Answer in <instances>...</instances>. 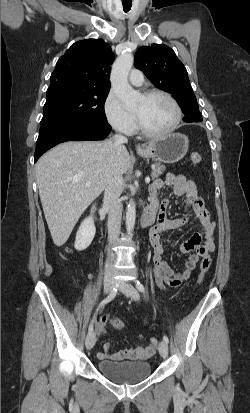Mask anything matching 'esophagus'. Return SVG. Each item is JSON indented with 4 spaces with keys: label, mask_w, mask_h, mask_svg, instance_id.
Segmentation results:
<instances>
[{
    "label": "esophagus",
    "mask_w": 250,
    "mask_h": 413,
    "mask_svg": "<svg viewBox=\"0 0 250 413\" xmlns=\"http://www.w3.org/2000/svg\"><path fill=\"white\" fill-rule=\"evenodd\" d=\"M136 150L141 151V150H143V148L140 145H136Z\"/></svg>",
    "instance_id": "1"
}]
</instances>
